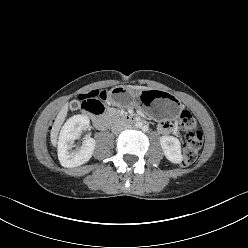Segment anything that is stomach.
I'll return each mask as SVG.
<instances>
[{"label": "stomach", "mask_w": 248, "mask_h": 248, "mask_svg": "<svg viewBox=\"0 0 248 248\" xmlns=\"http://www.w3.org/2000/svg\"><path fill=\"white\" fill-rule=\"evenodd\" d=\"M113 90V96L118 106L129 107L137 103L140 110L145 111L156 120L174 118L181 109L178 98L166 91L147 89L134 92L126 86H119Z\"/></svg>", "instance_id": "obj_1"}]
</instances>
